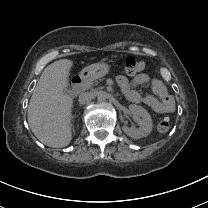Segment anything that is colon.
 I'll return each mask as SVG.
<instances>
[{"instance_id": "obj_1", "label": "colon", "mask_w": 208, "mask_h": 208, "mask_svg": "<svg viewBox=\"0 0 208 208\" xmlns=\"http://www.w3.org/2000/svg\"><path fill=\"white\" fill-rule=\"evenodd\" d=\"M145 67V63L142 59L135 55H128L125 59V73L128 76H133L141 72ZM171 127V118L164 117L160 120L158 124V129L160 132H167Z\"/></svg>"}]
</instances>
